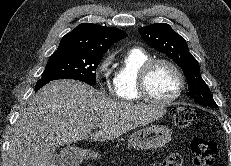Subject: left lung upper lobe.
<instances>
[{
	"mask_svg": "<svg viewBox=\"0 0 231 166\" xmlns=\"http://www.w3.org/2000/svg\"><path fill=\"white\" fill-rule=\"evenodd\" d=\"M138 31L150 47L165 53L182 68L188 80L191 98L201 105L218 107L201 77L198 61L189 52L188 45L182 36L165 23L152 24Z\"/></svg>",
	"mask_w": 231,
	"mask_h": 166,
	"instance_id": "left-lung-upper-lobe-1",
	"label": "left lung upper lobe"
}]
</instances>
